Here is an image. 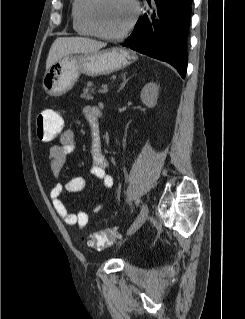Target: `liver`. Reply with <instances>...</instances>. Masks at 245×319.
Wrapping results in <instances>:
<instances>
[{"mask_svg": "<svg viewBox=\"0 0 245 319\" xmlns=\"http://www.w3.org/2000/svg\"><path fill=\"white\" fill-rule=\"evenodd\" d=\"M107 44L86 37H59L52 44L46 61V70L69 54L97 52Z\"/></svg>", "mask_w": 245, "mask_h": 319, "instance_id": "liver-1", "label": "liver"}]
</instances>
